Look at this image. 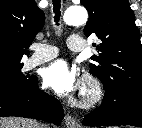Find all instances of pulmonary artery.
I'll return each instance as SVG.
<instances>
[{
  "label": "pulmonary artery",
  "mask_w": 142,
  "mask_h": 128,
  "mask_svg": "<svg viewBox=\"0 0 142 128\" xmlns=\"http://www.w3.org/2000/svg\"><path fill=\"white\" fill-rule=\"evenodd\" d=\"M67 46L73 52H81L85 49L84 39L76 34H72L67 39ZM58 55V49L55 46L48 44H38L34 46L33 55L27 60L25 66L27 69H32L40 64H43Z\"/></svg>",
  "instance_id": "1"
}]
</instances>
